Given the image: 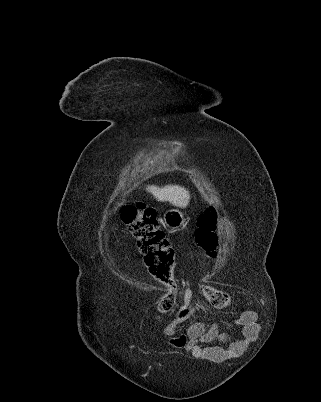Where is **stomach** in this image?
<instances>
[{
	"label": "stomach",
	"instance_id": "0dacf381",
	"mask_svg": "<svg viewBox=\"0 0 321 402\" xmlns=\"http://www.w3.org/2000/svg\"><path fill=\"white\" fill-rule=\"evenodd\" d=\"M185 222L183 214L177 209L167 210L163 215V223L172 231L179 230Z\"/></svg>",
	"mask_w": 321,
	"mask_h": 402
}]
</instances>
